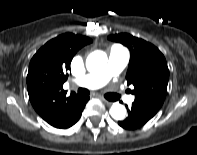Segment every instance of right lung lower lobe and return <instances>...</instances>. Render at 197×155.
Segmentation results:
<instances>
[{
	"label": "right lung lower lobe",
	"instance_id": "obj_1",
	"mask_svg": "<svg viewBox=\"0 0 197 155\" xmlns=\"http://www.w3.org/2000/svg\"><path fill=\"white\" fill-rule=\"evenodd\" d=\"M89 100V97H79L75 104L68 111L67 115L54 127L66 129L74 125L80 118L82 111Z\"/></svg>",
	"mask_w": 197,
	"mask_h": 155
}]
</instances>
